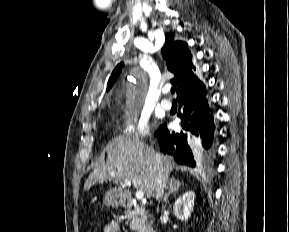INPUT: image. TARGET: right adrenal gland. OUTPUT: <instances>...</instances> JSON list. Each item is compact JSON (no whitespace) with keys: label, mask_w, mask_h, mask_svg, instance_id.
I'll return each mask as SVG.
<instances>
[{"label":"right adrenal gland","mask_w":289,"mask_h":232,"mask_svg":"<svg viewBox=\"0 0 289 232\" xmlns=\"http://www.w3.org/2000/svg\"><path fill=\"white\" fill-rule=\"evenodd\" d=\"M180 185H181V182L179 180L177 181V180H175V178H172L170 180V183H169V191H168V193H165L163 201L168 202V198H169L170 194L176 193L178 191Z\"/></svg>","instance_id":"1"}]
</instances>
